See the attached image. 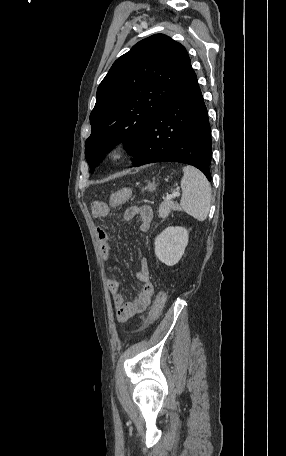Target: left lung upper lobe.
I'll return each mask as SVG.
<instances>
[{
  "mask_svg": "<svg viewBox=\"0 0 286 456\" xmlns=\"http://www.w3.org/2000/svg\"><path fill=\"white\" fill-rule=\"evenodd\" d=\"M191 67L183 45L155 34L119 57L100 83L85 143L90 171L111 148L126 142L132 154L151 120Z\"/></svg>",
  "mask_w": 286,
  "mask_h": 456,
  "instance_id": "1",
  "label": "left lung upper lobe"
}]
</instances>
